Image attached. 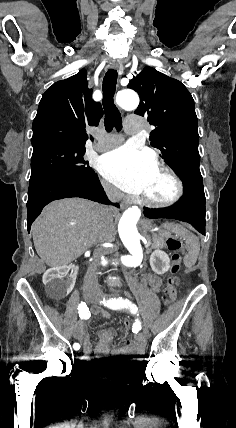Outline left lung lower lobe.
<instances>
[{
	"label": "left lung lower lobe",
	"instance_id": "left-lung-lower-lobe-1",
	"mask_svg": "<svg viewBox=\"0 0 236 428\" xmlns=\"http://www.w3.org/2000/svg\"><path fill=\"white\" fill-rule=\"evenodd\" d=\"M181 201L163 209L145 208L144 215L150 219L169 218L190 223L201 234H205V194L202 180L183 181Z\"/></svg>",
	"mask_w": 236,
	"mask_h": 428
}]
</instances>
